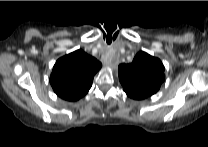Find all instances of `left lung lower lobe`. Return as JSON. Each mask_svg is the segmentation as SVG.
<instances>
[{"instance_id":"1","label":"left lung lower lobe","mask_w":208,"mask_h":147,"mask_svg":"<svg viewBox=\"0 0 208 147\" xmlns=\"http://www.w3.org/2000/svg\"><path fill=\"white\" fill-rule=\"evenodd\" d=\"M129 97L133 98V99H144L146 97H144L142 94H127Z\"/></svg>"}]
</instances>
